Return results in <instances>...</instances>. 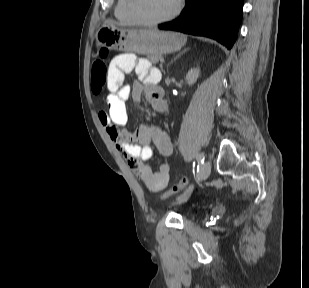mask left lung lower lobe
I'll use <instances>...</instances> for the list:
<instances>
[{
    "label": "left lung lower lobe",
    "instance_id": "1",
    "mask_svg": "<svg viewBox=\"0 0 309 288\" xmlns=\"http://www.w3.org/2000/svg\"><path fill=\"white\" fill-rule=\"evenodd\" d=\"M242 7L243 0H186L181 16L158 28L210 37L230 49L237 38Z\"/></svg>",
    "mask_w": 309,
    "mask_h": 288
}]
</instances>
